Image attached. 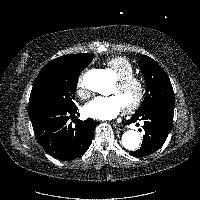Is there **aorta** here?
Listing matches in <instances>:
<instances>
[{
  "label": "aorta",
  "instance_id": "1",
  "mask_svg": "<svg viewBox=\"0 0 200 200\" xmlns=\"http://www.w3.org/2000/svg\"><path fill=\"white\" fill-rule=\"evenodd\" d=\"M84 84L88 89L100 94H105L109 85L105 73L101 70L89 71L84 77ZM140 141V134L135 130H128L122 135V146L127 150H136Z\"/></svg>",
  "mask_w": 200,
  "mask_h": 200
}]
</instances>
